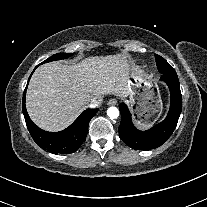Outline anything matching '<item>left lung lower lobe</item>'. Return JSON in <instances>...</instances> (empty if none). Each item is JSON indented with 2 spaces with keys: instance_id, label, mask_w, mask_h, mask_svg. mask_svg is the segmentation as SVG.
<instances>
[{
  "instance_id": "left-lung-lower-lobe-1",
  "label": "left lung lower lobe",
  "mask_w": 207,
  "mask_h": 207,
  "mask_svg": "<svg viewBox=\"0 0 207 207\" xmlns=\"http://www.w3.org/2000/svg\"><path fill=\"white\" fill-rule=\"evenodd\" d=\"M161 80L170 90L171 104L167 117L147 131L138 130L131 121L129 110L125 103L119 105L121 123L119 126L120 138L135 150H150L162 145L176 128L182 110V96L178 76L174 71L162 73Z\"/></svg>"
}]
</instances>
